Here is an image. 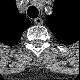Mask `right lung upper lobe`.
Here are the masks:
<instances>
[{
    "mask_svg": "<svg viewBox=\"0 0 80 80\" xmlns=\"http://www.w3.org/2000/svg\"><path fill=\"white\" fill-rule=\"evenodd\" d=\"M29 26L30 22L18 13L15 3H10L0 14V40L14 45Z\"/></svg>",
    "mask_w": 80,
    "mask_h": 80,
    "instance_id": "cb5924a9",
    "label": "right lung upper lobe"
}]
</instances>
